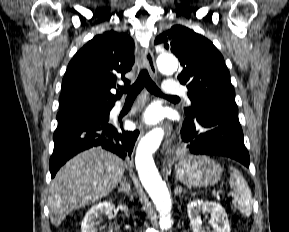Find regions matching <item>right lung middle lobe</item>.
Listing matches in <instances>:
<instances>
[{
	"label": "right lung middle lobe",
	"instance_id": "obj_1",
	"mask_svg": "<svg viewBox=\"0 0 289 232\" xmlns=\"http://www.w3.org/2000/svg\"><path fill=\"white\" fill-rule=\"evenodd\" d=\"M111 108L81 107L60 110L57 114L58 122L78 119H108Z\"/></svg>",
	"mask_w": 289,
	"mask_h": 232
}]
</instances>
